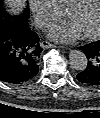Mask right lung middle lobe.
I'll return each mask as SVG.
<instances>
[{
  "mask_svg": "<svg viewBox=\"0 0 100 118\" xmlns=\"http://www.w3.org/2000/svg\"><path fill=\"white\" fill-rule=\"evenodd\" d=\"M1 9L3 11V16L0 19V27H5L7 24H11L13 22H17L21 25L27 24V20L29 18V8H27L20 16H10L3 10L2 6Z\"/></svg>",
  "mask_w": 100,
  "mask_h": 118,
  "instance_id": "right-lung-middle-lobe-1",
  "label": "right lung middle lobe"
}]
</instances>
